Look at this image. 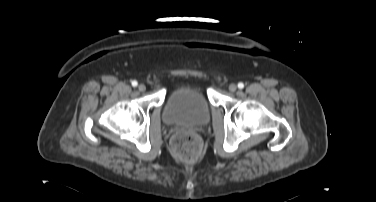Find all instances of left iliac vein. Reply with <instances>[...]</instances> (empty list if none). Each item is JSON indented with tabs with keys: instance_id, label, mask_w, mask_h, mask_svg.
Wrapping results in <instances>:
<instances>
[{
	"instance_id": "left-iliac-vein-1",
	"label": "left iliac vein",
	"mask_w": 376,
	"mask_h": 202,
	"mask_svg": "<svg viewBox=\"0 0 376 202\" xmlns=\"http://www.w3.org/2000/svg\"><path fill=\"white\" fill-rule=\"evenodd\" d=\"M229 90L231 91V92H235L236 90H237V85L236 84H230L229 85Z\"/></svg>"
}]
</instances>
